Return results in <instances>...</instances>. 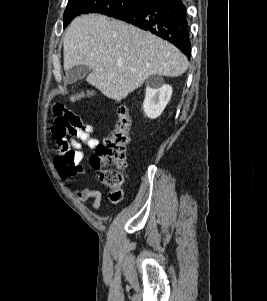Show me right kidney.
<instances>
[{"label": "right kidney", "mask_w": 267, "mask_h": 301, "mask_svg": "<svg viewBox=\"0 0 267 301\" xmlns=\"http://www.w3.org/2000/svg\"><path fill=\"white\" fill-rule=\"evenodd\" d=\"M172 95L170 85L147 88L143 102V110L147 117L155 119L161 115Z\"/></svg>", "instance_id": "right-kidney-1"}]
</instances>
